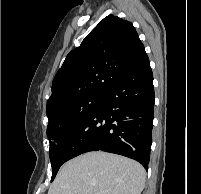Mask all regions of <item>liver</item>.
<instances>
[{"label": "liver", "mask_w": 201, "mask_h": 194, "mask_svg": "<svg viewBox=\"0 0 201 194\" xmlns=\"http://www.w3.org/2000/svg\"><path fill=\"white\" fill-rule=\"evenodd\" d=\"M145 177L144 168L134 160L89 152L61 167L48 194H141Z\"/></svg>", "instance_id": "1"}]
</instances>
